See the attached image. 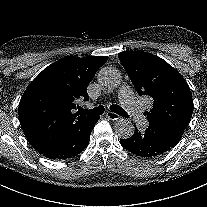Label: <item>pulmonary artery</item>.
I'll list each match as a JSON object with an SVG mask.
<instances>
[{
    "instance_id": "pulmonary-artery-1",
    "label": "pulmonary artery",
    "mask_w": 207,
    "mask_h": 207,
    "mask_svg": "<svg viewBox=\"0 0 207 207\" xmlns=\"http://www.w3.org/2000/svg\"><path fill=\"white\" fill-rule=\"evenodd\" d=\"M120 98L125 103L131 121L134 124H141L144 121V114L134 92L130 88H123L120 91Z\"/></svg>"
}]
</instances>
